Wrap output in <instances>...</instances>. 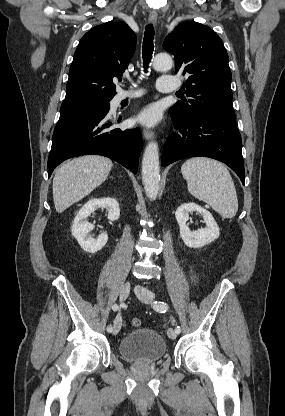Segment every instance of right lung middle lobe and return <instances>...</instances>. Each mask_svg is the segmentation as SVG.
<instances>
[{
	"instance_id": "right-lung-middle-lobe-1",
	"label": "right lung middle lobe",
	"mask_w": 285,
	"mask_h": 416,
	"mask_svg": "<svg viewBox=\"0 0 285 416\" xmlns=\"http://www.w3.org/2000/svg\"><path fill=\"white\" fill-rule=\"evenodd\" d=\"M109 101L110 100H83L63 102L61 105L60 117L93 112H109Z\"/></svg>"
}]
</instances>
